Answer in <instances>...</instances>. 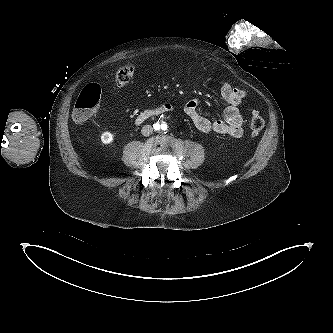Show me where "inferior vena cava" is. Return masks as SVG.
I'll list each match as a JSON object with an SVG mask.
<instances>
[{
    "label": "inferior vena cava",
    "instance_id": "inferior-vena-cava-1",
    "mask_svg": "<svg viewBox=\"0 0 333 333\" xmlns=\"http://www.w3.org/2000/svg\"><path fill=\"white\" fill-rule=\"evenodd\" d=\"M152 132H153V128L151 125H144L142 127V130H141L142 135L149 136L152 134Z\"/></svg>",
    "mask_w": 333,
    "mask_h": 333
}]
</instances>
